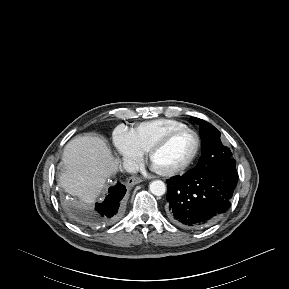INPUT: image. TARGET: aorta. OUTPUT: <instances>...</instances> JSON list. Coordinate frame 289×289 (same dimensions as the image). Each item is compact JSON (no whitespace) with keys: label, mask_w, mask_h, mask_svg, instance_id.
Here are the masks:
<instances>
[{"label":"aorta","mask_w":289,"mask_h":289,"mask_svg":"<svg viewBox=\"0 0 289 289\" xmlns=\"http://www.w3.org/2000/svg\"><path fill=\"white\" fill-rule=\"evenodd\" d=\"M149 189L153 195L162 196L166 192V185L161 180H155L150 183Z\"/></svg>","instance_id":"obj_1"}]
</instances>
